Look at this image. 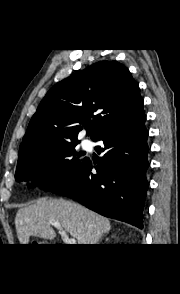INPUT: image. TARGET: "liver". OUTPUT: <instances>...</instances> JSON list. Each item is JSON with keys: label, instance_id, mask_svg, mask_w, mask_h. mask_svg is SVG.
Returning a JSON list of instances; mask_svg holds the SVG:
<instances>
[{"label": "liver", "instance_id": "6515ba94", "mask_svg": "<svg viewBox=\"0 0 180 294\" xmlns=\"http://www.w3.org/2000/svg\"><path fill=\"white\" fill-rule=\"evenodd\" d=\"M53 221L80 245L96 244L111 229L109 219L82 205L64 199L42 200L18 210L15 227L20 244H28L31 236L54 239Z\"/></svg>", "mask_w": 180, "mask_h": 294}]
</instances>
